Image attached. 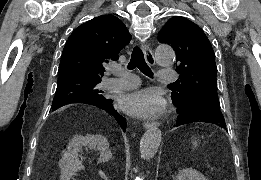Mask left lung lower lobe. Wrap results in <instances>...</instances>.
Wrapping results in <instances>:
<instances>
[{
    "label": "left lung lower lobe",
    "mask_w": 261,
    "mask_h": 180,
    "mask_svg": "<svg viewBox=\"0 0 261 180\" xmlns=\"http://www.w3.org/2000/svg\"><path fill=\"white\" fill-rule=\"evenodd\" d=\"M173 103L179 113L175 127L193 122H206L226 129L225 119L218 106L200 102L194 97L183 103Z\"/></svg>",
    "instance_id": "1"
}]
</instances>
